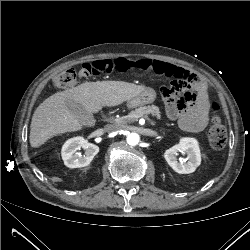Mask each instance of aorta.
I'll return each mask as SVG.
<instances>
[{
  "label": "aorta",
  "instance_id": "762f6f07",
  "mask_svg": "<svg viewBox=\"0 0 250 250\" xmlns=\"http://www.w3.org/2000/svg\"><path fill=\"white\" fill-rule=\"evenodd\" d=\"M139 141H140V137L137 133H130L127 136V143L129 145L135 146L139 143Z\"/></svg>",
  "mask_w": 250,
  "mask_h": 250
}]
</instances>
